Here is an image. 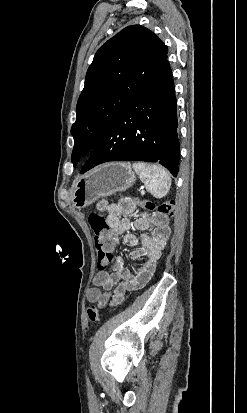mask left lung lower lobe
I'll return each mask as SVG.
<instances>
[{"instance_id":"obj_1","label":"left lung lower lobe","mask_w":247,"mask_h":413,"mask_svg":"<svg viewBox=\"0 0 247 413\" xmlns=\"http://www.w3.org/2000/svg\"><path fill=\"white\" fill-rule=\"evenodd\" d=\"M172 71L167 58L109 126L81 173L108 161L158 162L178 174L180 145Z\"/></svg>"}]
</instances>
